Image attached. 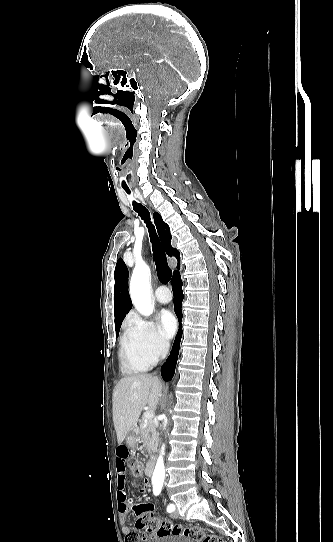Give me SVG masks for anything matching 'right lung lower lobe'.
I'll return each instance as SVG.
<instances>
[{
    "mask_svg": "<svg viewBox=\"0 0 333 542\" xmlns=\"http://www.w3.org/2000/svg\"><path fill=\"white\" fill-rule=\"evenodd\" d=\"M176 258L178 260V266H179L180 255ZM171 283H172L173 293H174V310L180 323L182 319L181 304L183 300V292H182V281L180 278L179 271L177 270L174 271ZM181 337H182V327L180 324L179 331L176 335L171 353L161 368V375L165 381H170L174 375V372H175L174 370L176 367V362H177L178 353H179Z\"/></svg>",
    "mask_w": 333,
    "mask_h": 542,
    "instance_id": "98d812e1",
    "label": "right lung lower lobe"
}]
</instances>
